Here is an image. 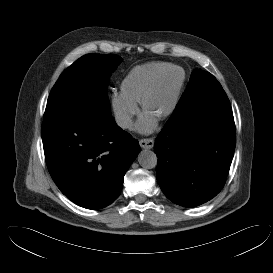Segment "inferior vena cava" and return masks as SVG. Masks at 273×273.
Returning <instances> with one entry per match:
<instances>
[{
	"instance_id": "obj_1",
	"label": "inferior vena cava",
	"mask_w": 273,
	"mask_h": 273,
	"mask_svg": "<svg viewBox=\"0 0 273 273\" xmlns=\"http://www.w3.org/2000/svg\"><path fill=\"white\" fill-rule=\"evenodd\" d=\"M116 123L122 129H128L132 126V120L129 116L126 115H117L116 116Z\"/></svg>"
}]
</instances>
